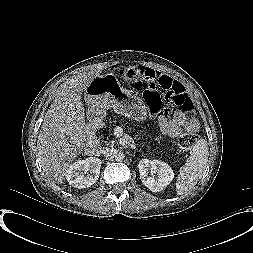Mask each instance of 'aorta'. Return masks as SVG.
Wrapping results in <instances>:
<instances>
[{"label": "aorta", "instance_id": "762f6f07", "mask_svg": "<svg viewBox=\"0 0 253 253\" xmlns=\"http://www.w3.org/2000/svg\"><path fill=\"white\" fill-rule=\"evenodd\" d=\"M124 154L123 153H118L115 155L116 161H122L124 159Z\"/></svg>", "mask_w": 253, "mask_h": 253}]
</instances>
